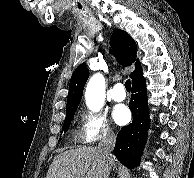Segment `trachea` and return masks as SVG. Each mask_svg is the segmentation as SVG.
<instances>
[{
  "label": "trachea",
  "instance_id": "1",
  "mask_svg": "<svg viewBox=\"0 0 194 178\" xmlns=\"http://www.w3.org/2000/svg\"><path fill=\"white\" fill-rule=\"evenodd\" d=\"M125 88L128 92L131 91V81L129 79L125 82Z\"/></svg>",
  "mask_w": 194,
  "mask_h": 178
}]
</instances>
